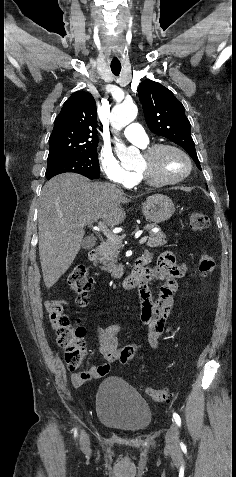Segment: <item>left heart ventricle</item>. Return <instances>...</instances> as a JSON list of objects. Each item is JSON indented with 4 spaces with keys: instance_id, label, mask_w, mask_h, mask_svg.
Returning a JSON list of instances; mask_svg holds the SVG:
<instances>
[{
    "instance_id": "b2bd125f",
    "label": "left heart ventricle",
    "mask_w": 236,
    "mask_h": 477,
    "mask_svg": "<svg viewBox=\"0 0 236 477\" xmlns=\"http://www.w3.org/2000/svg\"><path fill=\"white\" fill-rule=\"evenodd\" d=\"M137 169L147 170L156 180H169L184 174L187 170V162L179 153L165 150L151 161H147L142 155Z\"/></svg>"
}]
</instances>
